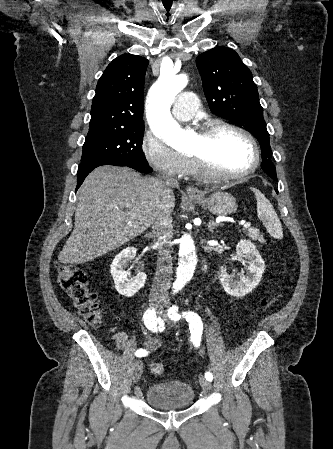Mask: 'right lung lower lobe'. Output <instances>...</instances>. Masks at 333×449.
I'll return each mask as SVG.
<instances>
[{
    "label": "right lung lower lobe",
    "mask_w": 333,
    "mask_h": 449,
    "mask_svg": "<svg viewBox=\"0 0 333 449\" xmlns=\"http://www.w3.org/2000/svg\"><path fill=\"white\" fill-rule=\"evenodd\" d=\"M102 165L127 166L143 173H151L153 170L149 165H131L122 162H101V163H85L80 164L77 177V188L80 187L85 177L96 167Z\"/></svg>",
    "instance_id": "98d812e1"
}]
</instances>
